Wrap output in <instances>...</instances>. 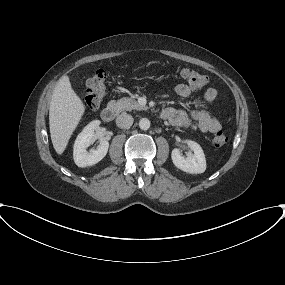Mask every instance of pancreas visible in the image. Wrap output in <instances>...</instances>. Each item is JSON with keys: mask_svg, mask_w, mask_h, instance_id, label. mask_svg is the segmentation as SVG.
<instances>
[{"mask_svg": "<svg viewBox=\"0 0 285 285\" xmlns=\"http://www.w3.org/2000/svg\"><path fill=\"white\" fill-rule=\"evenodd\" d=\"M117 112L121 111H131V110H145L146 107L141 106L137 103L136 100L127 98V99H119L117 101H111L110 102Z\"/></svg>", "mask_w": 285, "mask_h": 285, "instance_id": "cf45deb5", "label": "pancreas"}]
</instances>
